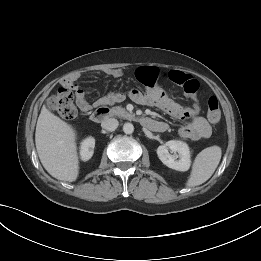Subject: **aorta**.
Returning a JSON list of instances; mask_svg holds the SVG:
<instances>
[{
  "mask_svg": "<svg viewBox=\"0 0 261 261\" xmlns=\"http://www.w3.org/2000/svg\"><path fill=\"white\" fill-rule=\"evenodd\" d=\"M123 131H124L125 134H132L134 132L133 124L129 123V122L125 123L123 125Z\"/></svg>",
  "mask_w": 261,
  "mask_h": 261,
  "instance_id": "1",
  "label": "aorta"
}]
</instances>
